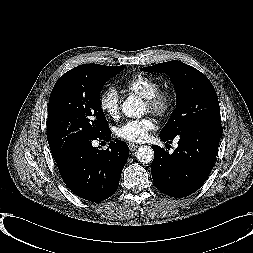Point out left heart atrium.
Listing matches in <instances>:
<instances>
[{
  "label": "left heart atrium",
  "instance_id": "39dd6f15",
  "mask_svg": "<svg viewBox=\"0 0 253 253\" xmlns=\"http://www.w3.org/2000/svg\"><path fill=\"white\" fill-rule=\"evenodd\" d=\"M155 129V122L150 117L138 120H127L116 130L117 136L130 142H143L149 132Z\"/></svg>",
  "mask_w": 253,
  "mask_h": 253
}]
</instances>
